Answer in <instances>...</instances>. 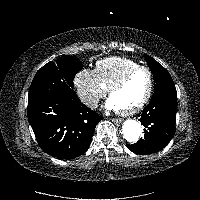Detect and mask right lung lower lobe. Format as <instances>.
I'll list each match as a JSON object with an SVG mask.
<instances>
[{"mask_svg":"<svg viewBox=\"0 0 200 200\" xmlns=\"http://www.w3.org/2000/svg\"><path fill=\"white\" fill-rule=\"evenodd\" d=\"M27 111L39 146L60 159L84 154L91 144L97 123L103 119L82 104L76 94L28 98Z\"/></svg>","mask_w":200,"mask_h":200,"instance_id":"right-lung-lower-lobe-1","label":"right lung lower lobe"}]
</instances>
